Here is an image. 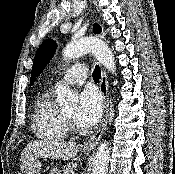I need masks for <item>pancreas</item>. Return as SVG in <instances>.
Returning <instances> with one entry per match:
<instances>
[{
	"mask_svg": "<svg viewBox=\"0 0 175 174\" xmlns=\"http://www.w3.org/2000/svg\"><path fill=\"white\" fill-rule=\"evenodd\" d=\"M73 164L68 163L65 167H63V174H73ZM51 174H58L56 171L52 172Z\"/></svg>",
	"mask_w": 175,
	"mask_h": 174,
	"instance_id": "cf45deb5",
	"label": "pancreas"
}]
</instances>
